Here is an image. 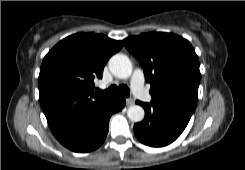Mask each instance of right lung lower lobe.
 <instances>
[{
  "label": "right lung lower lobe",
  "mask_w": 245,
  "mask_h": 170,
  "mask_svg": "<svg viewBox=\"0 0 245 170\" xmlns=\"http://www.w3.org/2000/svg\"><path fill=\"white\" fill-rule=\"evenodd\" d=\"M125 106V98L112 96L94 108L69 134L59 142L74 152H89L97 149L109 130V119Z\"/></svg>",
  "instance_id": "obj_1"
}]
</instances>
